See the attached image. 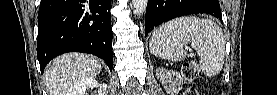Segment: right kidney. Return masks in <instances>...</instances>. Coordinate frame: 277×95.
I'll return each instance as SVG.
<instances>
[{"label":"right kidney","instance_id":"1","mask_svg":"<svg viewBox=\"0 0 277 95\" xmlns=\"http://www.w3.org/2000/svg\"><path fill=\"white\" fill-rule=\"evenodd\" d=\"M99 83L94 77L82 79L75 83L74 87L69 91L68 95H87L86 90L88 88H98ZM106 91V85H101L98 90V95H104Z\"/></svg>","mask_w":277,"mask_h":95}]
</instances>
